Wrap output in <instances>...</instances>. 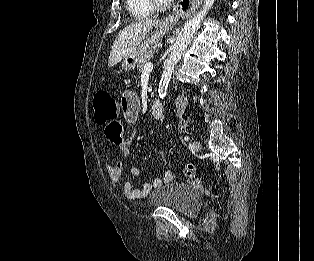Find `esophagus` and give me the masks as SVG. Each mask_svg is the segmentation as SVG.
I'll use <instances>...</instances> for the list:
<instances>
[{
	"label": "esophagus",
	"instance_id": "34e87169",
	"mask_svg": "<svg viewBox=\"0 0 314 261\" xmlns=\"http://www.w3.org/2000/svg\"><path fill=\"white\" fill-rule=\"evenodd\" d=\"M202 0H191V3H186V9H183L181 4L177 5L176 14L183 17H188L199 7Z\"/></svg>",
	"mask_w": 314,
	"mask_h": 261
}]
</instances>
